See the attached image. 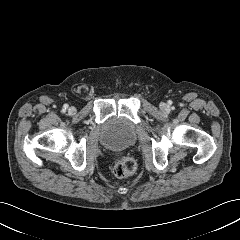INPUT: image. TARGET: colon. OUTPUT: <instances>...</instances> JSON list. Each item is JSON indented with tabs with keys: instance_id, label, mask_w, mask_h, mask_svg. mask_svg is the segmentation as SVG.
Here are the masks:
<instances>
[{
	"instance_id": "obj_1",
	"label": "colon",
	"mask_w": 240,
	"mask_h": 240,
	"mask_svg": "<svg viewBox=\"0 0 240 240\" xmlns=\"http://www.w3.org/2000/svg\"><path fill=\"white\" fill-rule=\"evenodd\" d=\"M137 170L134 159L126 156L117 157L111 164V171L118 178H125L133 175Z\"/></svg>"
}]
</instances>
